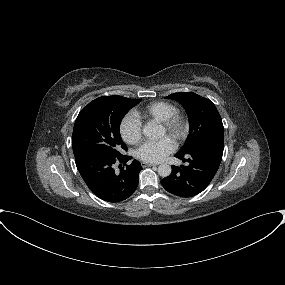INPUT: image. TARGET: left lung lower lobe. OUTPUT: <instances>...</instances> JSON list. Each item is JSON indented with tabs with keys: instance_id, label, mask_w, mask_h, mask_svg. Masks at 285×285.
I'll list each match as a JSON object with an SVG mask.
<instances>
[{
	"instance_id": "0a47b994",
	"label": "left lung lower lobe",
	"mask_w": 285,
	"mask_h": 285,
	"mask_svg": "<svg viewBox=\"0 0 285 285\" xmlns=\"http://www.w3.org/2000/svg\"><path fill=\"white\" fill-rule=\"evenodd\" d=\"M224 138H209L185 153L175 156L188 166H172V173L161 180V185L171 194L192 197L202 192L215 176L223 155Z\"/></svg>"
}]
</instances>
